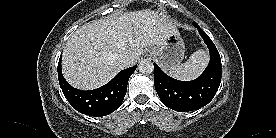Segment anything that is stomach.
I'll return each instance as SVG.
<instances>
[{"label": "stomach", "mask_w": 276, "mask_h": 138, "mask_svg": "<svg viewBox=\"0 0 276 138\" xmlns=\"http://www.w3.org/2000/svg\"><path fill=\"white\" fill-rule=\"evenodd\" d=\"M148 53L164 70H171L183 60L185 45L179 32H176L171 34L163 44L149 49Z\"/></svg>", "instance_id": "obj_1"}]
</instances>
